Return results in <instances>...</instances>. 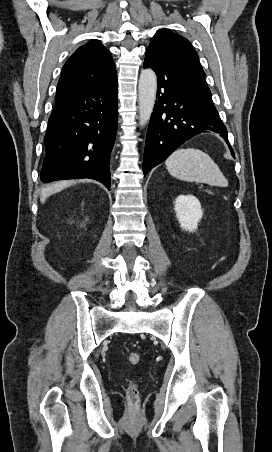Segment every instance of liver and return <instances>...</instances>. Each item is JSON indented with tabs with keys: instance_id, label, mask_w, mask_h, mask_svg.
Wrapping results in <instances>:
<instances>
[{
	"instance_id": "obj_1",
	"label": "liver",
	"mask_w": 272,
	"mask_h": 452,
	"mask_svg": "<svg viewBox=\"0 0 272 452\" xmlns=\"http://www.w3.org/2000/svg\"><path fill=\"white\" fill-rule=\"evenodd\" d=\"M73 184H75L74 181H60L44 188L41 192V202H45L46 198H48L50 195L57 193Z\"/></svg>"
}]
</instances>
